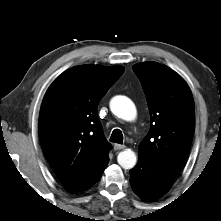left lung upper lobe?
Instances as JSON below:
<instances>
[{
    "label": "left lung upper lobe",
    "mask_w": 221,
    "mask_h": 221,
    "mask_svg": "<svg viewBox=\"0 0 221 221\" xmlns=\"http://www.w3.org/2000/svg\"><path fill=\"white\" fill-rule=\"evenodd\" d=\"M146 95L151 117L147 136L139 145V156L178 173L192 143L195 107L184 79L157 62L134 65Z\"/></svg>",
    "instance_id": "5c2ea615"
}]
</instances>
